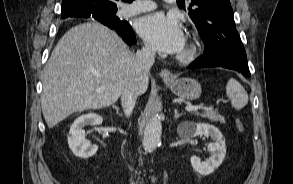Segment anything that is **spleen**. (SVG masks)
<instances>
[{
	"mask_svg": "<svg viewBox=\"0 0 293 184\" xmlns=\"http://www.w3.org/2000/svg\"><path fill=\"white\" fill-rule=\"evenodd\" d=\"M226 93L231 101L232 107L235 109H241L247 105L248 94L236 79H229L226 85Z\"/></svg>",
	"mask_w": 293,
	"mask_h": 184,
	"instance_id": "spleen-1",
	"label": "spleen"
}]
</instances>
